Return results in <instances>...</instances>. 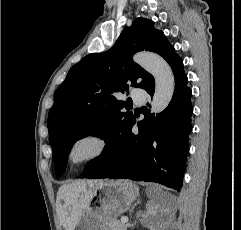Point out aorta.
I'll return each instance as SVG.
<instances>
[{"instance_id": "762f6f07", "label": "aorta", "mask_w": 241, "mask_h": 230, "mask_svg": "<svg viewBox=\"0 0 241 230\" xmlns=\"http://www.w3.org/2000/svg\"><path fill=\"white\" fill-rule=\"evenodd\" d=\"M133 59L154 77L155 92L151 111L155 114L162 112L171 102L175 89V79L170 66L154 53H137Z\"/></svg>"}]
</instances>
